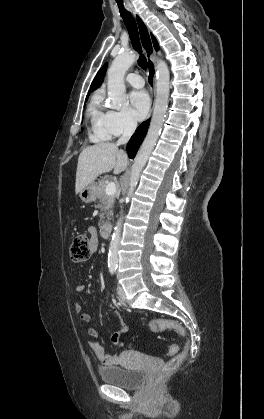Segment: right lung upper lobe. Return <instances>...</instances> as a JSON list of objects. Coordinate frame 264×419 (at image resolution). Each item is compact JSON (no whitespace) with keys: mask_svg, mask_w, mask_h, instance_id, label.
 <instances>
[{"mask_svg":"<svg viewBox=\"0 0 264 419\" xmlns=\"http://www.w3.org/2000/svg\"><path fill=\"white\" fill-rule=\"evenodd\" d=\"M152 40H153V45L155 50L157 51L159 49V45L158 42L156 41V39L154 38V36L152 35ZM106 69H107V63L104 64V66L98 71L97 75L95 76L92 84H91V90L95 89L96 87H98L104 80V76L106 73ZM89 94L87 95L88 98Z\"/></svg>","mask_w":264,"mask_h":419,"instance_id":"right-lung-upper-lobe-1","label":"right lung upper lobe"}]
</instances>
